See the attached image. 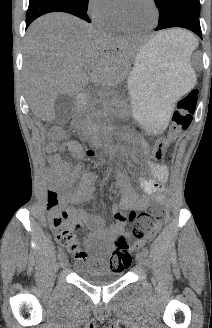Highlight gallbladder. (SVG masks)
<instances>
[{
	"instance_id": "obj_1",
	"label": "gallbladder",
	"mask_w": 212,
	"mask_h": 328,
	"mask_svg": "<svg viewBox=\"0 0 212 328\" xmlns=\"http://www.w3.org/2000/svg\"><path fill=\"white\" fill-rule=\"evenodd\" d=\"M75 106V97L67 94L57 96L54 101V122L58 124L66 123L73 112Z\"/></svg>"
}]
</instances>
